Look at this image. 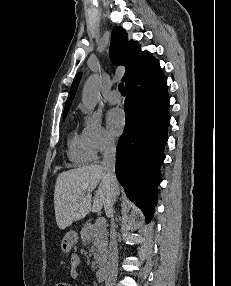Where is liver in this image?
<instances>
[{"instance_id":"liver-1","label":"liver","mask_w":231,"mask_h":286,"mask_svg":"<svg viewBox=\"0 0 231 286\" xmlns=\"http://www.w3.org/2000/svg\"><path fill=\"white\" fill-rule=\"evenodd\" d=\"M98 187L92 205V191ZM110 185L101 165H88L60 173L54 192L55 218L59 229L84 218L90 211L99 212L109 202ZM113 198L120 194L118 183Z\"/></svg>"}]
</instances>
